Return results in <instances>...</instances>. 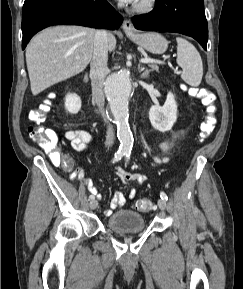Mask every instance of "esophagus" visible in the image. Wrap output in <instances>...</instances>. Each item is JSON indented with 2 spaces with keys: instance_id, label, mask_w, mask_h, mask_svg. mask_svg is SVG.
I'll return each mask as SVG.
<instances>
[{
  "instance_id": "obj_1",
  "label": "esophagus",
  "mask_w": 243,
  "mask_h": 289,
  "mask_svg": "<svg viewBox=\"0 0 243 289\" xmlns=\"http://www.w3.org/2000/svg\"><path fill=\"white\" fill-rule=\"evenodd\" d=\"M122 28H123V31L125 33H134L135 32L133 24L131 23L130 20H124Z\"/></svg>"
}]
</instances>
